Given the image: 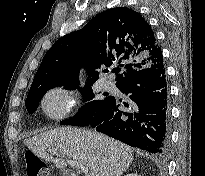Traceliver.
Listing matches in <instances>:
<instances>
[{"label": "liver", "mask_w": 205, "mask_h": 176, "mask_svg": "<svg viewBox=\"0 0 205 176\" xmlns=\"http://www.w3.org/2000/svg\"><path fill=\"white\" fill-rule=\"evenodd\" d=\"M24 144L39 158L57 168L67 165L64 156L90 170V176H121L133 161V150L104 134L68 127L56 128L27 138ZM55 151L54 158L46 149Z\"/></svg>", "instance_id": "1"}]
</instances>
